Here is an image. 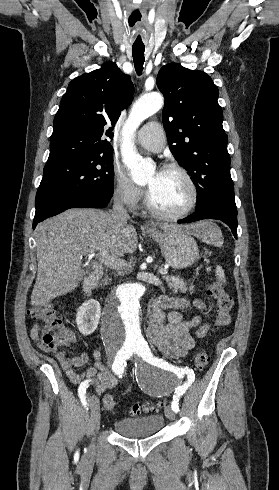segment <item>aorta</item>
Segmentation results:
<instances>
[{"label": "aorta", "mask_w": 279, "mask_h": 490, "mask_svg": "<svg viewBox=\"0 0 279 490\" xmlns=\"http://www.w3.org/2000/svg\"><path fill=\"white\" fill-rule=\"evenodd\" d=\"M164 100L161 94L151 93L141 97L132 107L123 127L121 152L123 162L135 183H143L154 171L152 161L142 158L135 150L131 138L139 125L159 111ZM145 287L140 283L120 285L106 302L102 319V336L111 350L129 351L144 343L140 299Z\"/></svg>", "instance_id": "obj_1"}]
</instances>
